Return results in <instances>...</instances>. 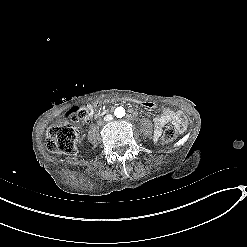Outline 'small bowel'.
<instances>
[{"instance_id": "1", "label": "small bowel", "mask_w": 247, "mask_h": 247, "mask_svg": "<svg viewBox=\"0 0 247 247\" xmlns=\"http://www.w3.org/2000/svg\"><path fill=\"white\" fill-rule=\"evenodd\" d=\"M90 117L87 120H89ZM168 124H173L182 129L184 127L183 114L169 109L163 110L162 114L154 118L155 136L159 137L162 133L163 128Z\"/></svg>"}]
</instances>
